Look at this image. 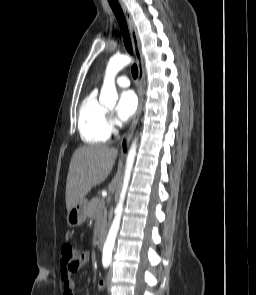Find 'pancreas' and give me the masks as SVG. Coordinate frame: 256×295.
Masks as SVG:
<instances>
[{
    "mask_svg": "<svg viewBox=\"0 0 256 295\" xmlns=\"http://www.w3.org/2000/svg\"><path fill=\"white\" fill-rule=\"evenodd\" d=\"M106 207L105 201L100 198H93L87 207V216L90 218H96L100 222L102 228L106 222Z\"/></svg>",
    "mask_w": 256,
    "mask_h": 295,
    "instance_id": "pancreas-1",
    "label": "pancreas"
}]
</instances>
